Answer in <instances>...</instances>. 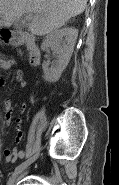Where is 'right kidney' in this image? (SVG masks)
I'll use <instances>...</instances> for the list:
<instances>
[{"mask_svg": "<svg viewBox=\"0 0 119 185\" xmlns=\"http://www.w3.org/2000/svg\"><path fill=\"white\" fill-rule=\"evenodd\" d=\"M78 36V30L73 27H65L57 29L49 33L42 45L43 51L52 49L56 53V59L51 63L44 61L42 69L44 72V80L47 82H56L61 77L62 72L67 67L71 58L76 39Z\"/></svg>", "mask_w": 119, "mask_h": 185, "instance_id": "right-kidney-1", "label": "right kidney"}]
</instances>
